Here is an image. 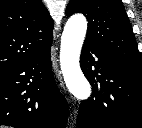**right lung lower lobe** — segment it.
<instances>
[{
    "instance_id": "98d812e1",
    "label": "right lung lower lobe",
    "mask_w": 142,
    "mask_h": 128,
    "mask_svg": "<svg viewBox=\"0 0 142 128\" xmlns=\"http://www.w3.org/2000/svg\"><path fill=\"white\" fill-rule=\"evenodd\" d=\"M50 46L0 75V125L15 128L65 126L68 106L54 80Z\"/></svg>"
}]
</instances>
